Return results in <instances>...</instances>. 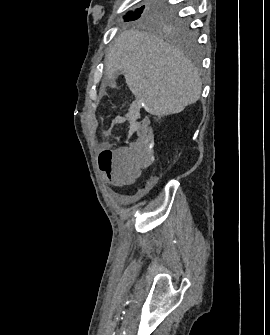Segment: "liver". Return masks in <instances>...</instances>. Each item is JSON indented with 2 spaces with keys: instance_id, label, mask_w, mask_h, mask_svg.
<instances>
[{
  "instance_id": "liver-1",
  "label": "liver",
  "mask_w": 270,
  "mask_h": 335,
  "mask_svg": "<svg viewBox=\"0 0 270 335\" xmlns=\"http://www.w3.org/2000/svg\"><path fill=\"white\" fill-rule=\"evenodd\" d=\"M106 76L122 72L132 94L152 116L179 114L200 98L198 70L174 46L155 34L124 30L106 56Z\"/></svg>"
}]
</instances>
